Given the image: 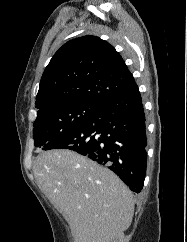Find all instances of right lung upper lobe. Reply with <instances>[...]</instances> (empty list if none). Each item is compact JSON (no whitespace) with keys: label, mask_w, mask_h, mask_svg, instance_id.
<instances>
[{"label":"right lung upper lobe","mask_w":187,"mask_h":242,"mask_svg":"<svg viewBox=\"0 0 187 242\" xmlns=\"http://www.w3.org/2000/svg\"><path fill=\"white\" fill-rule=\"evenodd\" d=\"M137 88L122 57L109 43L83 36L64 44L46 67L36 96L37 115L73 102L101 106Z\"/></svg>","instance_id":"obj_1"}]
</instances>
